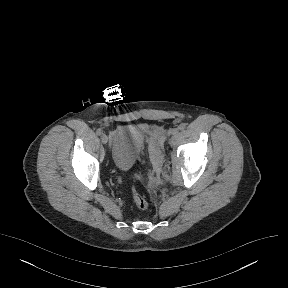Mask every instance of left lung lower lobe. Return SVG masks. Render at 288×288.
Returning <instances> with one entry per match:
<instances>
[{"instance_id": "0a47b994", "label": "left lung lower lobe", "mask_w": 288, "mask_h": 288, "mask_svg": "<svg viewBox=\"0 0 288 288\" xmlns=\"http://www.w3.org/2000/svg\"><path fill=\"white\" fill-rule=\"evenodd\" d=\"M266 208H267L266 200L263 197H260L257 203L254 205V207L248 214V216L250 217L255 212L259 213L258 217L252 222V224L249 227L251 230L260 231L263 228L266 220Z\"/></svg>"}]
</instances>
